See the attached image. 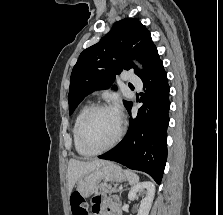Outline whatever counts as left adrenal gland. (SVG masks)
I'll list each match as a JSON object with an SVG mask.
<instances>
[{"mask_svg": "<svg viewBox=\"0 0 223 215\" xmlns=\"http://www.w3.org/2000/svg\"><path fill=\"white\" fill-rule=\"evenodd\" d=\"M122 191H123V189H120V191H119V195H121Z\"/></svg>", "mask_w": 223, "mask_h": 215, "instance_id": "a2214340", "label": "left adrenal gland"}]
</instances>
